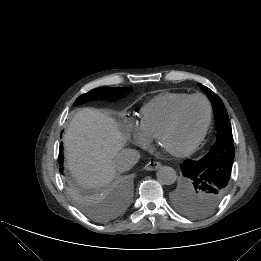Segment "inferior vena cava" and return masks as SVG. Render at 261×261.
<instances>
[{
	"mask_svg": "<svg viewBox=\"0 0 261 261\" xmlns=\"http://www.w3.org/2000/svg\"><path fill=\"white\" fill-rule=\"evenodd\" d=\"M140 159V153L135 149L121 150L113 161V166L118 172L130 170Z\"/></svg>",
	"mask_w": 261,
	"mask_h": 261,
	"instance_id": "602c4592",
	"label": "inferior vena cava"
}]
</instances>
